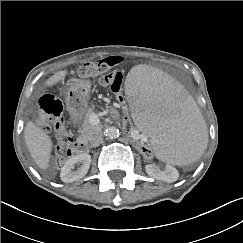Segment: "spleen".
<instances>
[{
  "label": "spleen",
  "mask_w": 243,
  "mask_h": 243,
  "mask_svg": "<svg viewBox=\"0 0 243 243\" xmlns=\"http://www.w3.org/2000/svg\"><path fill=\"white\" fill-rule=\"evenodd\" d=\"M125 91L157 156L180 165L196 159L208 143L207 127L191 89L157 68L133 71Z\"/></svg>",
  "instance_id": "spleen-1"
}]
</instances>
